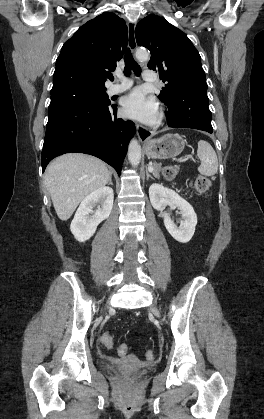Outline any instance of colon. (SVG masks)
Masks as SVG:
<instances>
[{"mask_svg":"<svg viewBox=\"0 0 264 419\" xmlns=\"http://www.w3.org/2000/svg\"><path fill=\"white\" fill-rule=\"evenodd\" d=\"M179 174V166L172 164L168 165L163 169V175L167 180L174 179ZM194 189L199 193H207L211 187V181L205 176H199L193 181ZM102 344L105 348L110 349L113 346V337L109 333L103 334L101 338ZM124 353H128V346L125 344L122 350ZM145 357L148 361H152L155 358V353L152 350H148L145 353Z\"/></svg>","mask_w":264,"mask_h":419,"instance_id":"obj_1","label":"colon"}]
</instances>
